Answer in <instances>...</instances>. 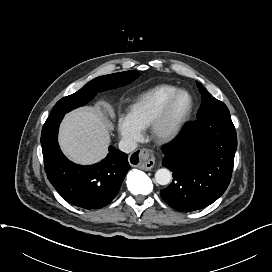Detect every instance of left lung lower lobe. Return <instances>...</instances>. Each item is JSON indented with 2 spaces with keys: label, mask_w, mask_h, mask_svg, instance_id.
I'll use <instances>...</instances> for the list:
<instances>
[{
  "label": "left lung lower lobe",
  "mask_w": 272,
  "mask_h": 272,
  "mask_svg": "<svg viewBox=\"0 0 272 272\" xmlns=\"http://www.w3.org/2000/svg\"><path fill=\"white\" fill-rule=\"evenodd\" d=\"M237 135L230 114H219L189 124L163 148L162 165L173 172L172 183L162 189L172 208L195 211L215 202L232 175Z\"/></svg>",
  "instance_id": "obj_1"
}]
</instances>
